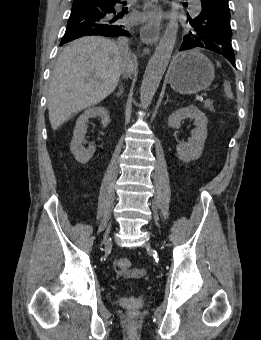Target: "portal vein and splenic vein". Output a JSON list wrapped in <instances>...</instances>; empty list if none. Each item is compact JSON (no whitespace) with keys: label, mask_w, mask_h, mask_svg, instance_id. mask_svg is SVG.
I'll return each instance as SVG.
<instances>
[{"label":"portal vein and splenic vein","mask_w":261,"mask_h":340,"mask_svg":"<svg viewBox=\"0 0 261 340\" xmlns=\"http://www.w3.org/2000/svg\"><path fill=\"white\" fill-rule=\"evenodd\" d=\"M196 99L202 101L204 99V96H198Z\"/></svg>","instance_id":"obj_1"}]
</instances>
